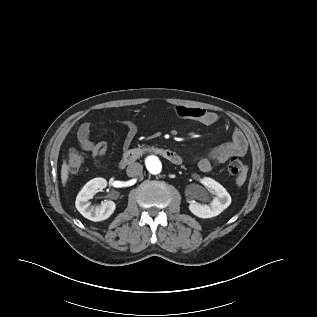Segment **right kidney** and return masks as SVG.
Masks as SVG:
<instances>
[{
	"label": "right kidney",
	"mask_w": 317,
	"mask_h": 317,
	"mask_svg": "<svg viewBox=\"0 0 317 317\" xmlns=\"http://www.w3.org/2000/svg\"><path fill=\"white\" fill-rule=\"evenodd\" d=\"M106 186L107 181L104 178L97 177L87 182L78 193L75 206L85 218L99 222L106 220L114 212L116 205L111 200L102 201L97 206H92L89 202L98 189L102 190Z\"/></svg>",
	"instance_id": "right-kidney-1"
}]
</instances>
